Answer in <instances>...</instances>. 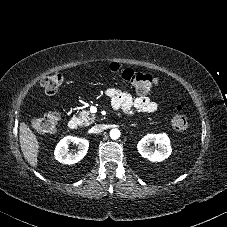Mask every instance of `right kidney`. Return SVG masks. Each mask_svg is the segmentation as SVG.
<instances>
[{
	"mask_svg": "<svg viewBox=\"0 0 227 227\" xmlns=\"http://www.w3.org/2000/svg\"><path fill=\"white\" fill-rule=\"evenodd\" d=\"M76 144L78 150L75 153L68 152L70 144ZM89 148V142L86 139L67 136L64 137L55 148V159L63 164H75L79 162L86 155Z\"/></svg>",
	"mask_w": 227,
	"mask_h": 227,
	"instance_id": "1",
	"label": "right kidney"
}]
</instances>
